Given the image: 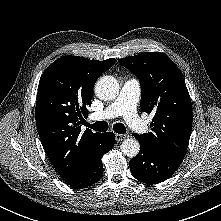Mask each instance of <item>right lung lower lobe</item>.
<instances>
[{"label":"right lung lower lobe","mask_w":221,"mask_h":221,"mask_svg":"<svg viewBox=\"0 0 221 221\" xmlns=\"http://www.w3.org/2000/svg\"><path fill=\"white\" fill-rule=\"evenodd\" d=\"M115 136L112 132L101 133L97 138L93 155L81 174L67 182L75 189H82L97 183L103 175L101 157L113 148Z\"/></svg>","instance_id":"right-lung-lower-lobe-1"}]
</instances>
